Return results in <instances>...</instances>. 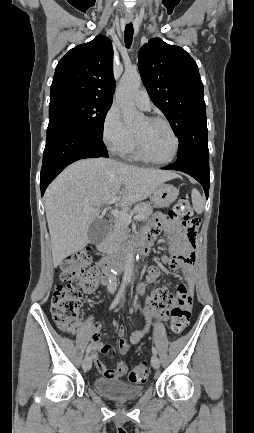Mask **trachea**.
I'll list each match as a JSON object with an SVG mask.
<instances>
[{
  "label": "trachea",
  "instance_id": "3493384b",
  "mask_svg": "<svg viewBox=\"0 0 254 433\" xmlns=\"http://www.w3.org/2000/svg\"><path fill=\"white\" fill-rule=\"evenodd\" d=\"M124 38H125L126 47L130 48V46L132 44V40H133V25H132V23H129L126 25Z\"/></svg>",
  "mask_w": 254,
  "mask_h": 433
}]
</instances>
